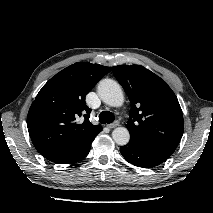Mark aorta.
<instances>
[{
	"label": "aorta",
	"instance_id": "aorta-1",
	"mask_svg": "<svg viewBox=\"0 0 213 213\" xmlns=\"http://www.w3.org/2000/svg\"><path fill=\"white\" fill-rule=\"evenodd\" d=\"M98 94L102 101L109 106L119 107L124 102L121 86L114 80L104 79L98 85ZM114 142L120 146L128 144L130 134L127 128L117 127L112 131Z\"/></svg>",
	"mask_w": 213,
	"mask_h": 213
}]
</instances>
